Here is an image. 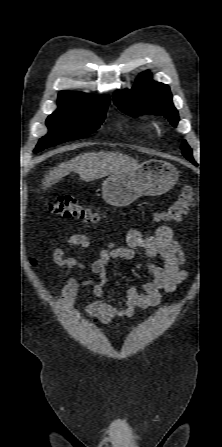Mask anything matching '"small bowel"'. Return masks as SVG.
Wrapping results in <instances>:
<instances>
[{
    "mask_svg": "<svg viewBox=\"0 0 222 447\" xmlns=\"http://www.w3.org/2000/svg\"><path fill=\"white\" fill-rule=\"evenodd\" d=\"M127 246H115L109 243L89 266L75 258L64 256L60 247L54 248L52 259L55 264L63 268L62 278L66 284L62 290L60 302L64 308L71 307L77 294L84 288H91L94 300L84 310V315L93 318L95 324H109L115 318H131L136 308H149L160 303L162 292H173L177 285L187 277L183 269L184 254L179 244L173 238L170 227L159 226L154 233L144 234L138 230H130L126 235ZM67 243L84 249H90L91 241L83 234L68 236ZM143 248L147 258V271L151 280L143 285V292L136 286L126 290L124 307L119 309L104 301V287L108 282L107 268L112 261L132 259L136 249ZM163 259V265L158 263ZM89 268L97 275L96 281L78 279L72 274L73 270Z\"/></svg>",
    "mask_w": 222,
    "mask_h": 447,
    "instance_id": "small-bowel-1",
    "label": "small bowel"
}]
</instances>
